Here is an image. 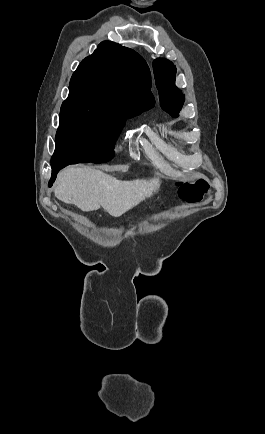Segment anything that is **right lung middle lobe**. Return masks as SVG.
I'll list each match as a JSON object with an SVG mask.
<instances>
[{"mask_svg":"<svg viewBox=\"0 0 265 434\" xmlns=\"http://www.w3.org/2000/svg\"><path fill=\"white\" fill-rule=\"evenodd\" d=\"M146 110L149 108L110 99L97 89L69 88L60 110L51 167L109 161L126 119Z\"/></svg>","mask_w":265,"mask_h":434,"instance_id":"right-lung-middle-lobe-1","label":"right lung middle lobe"}]
</instances>
